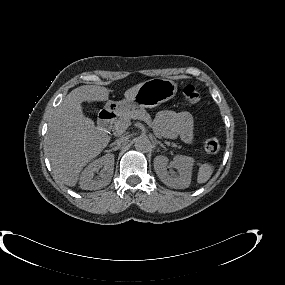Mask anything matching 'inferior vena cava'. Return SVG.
Masks as SVG:
<instances>
[{
    "mask_svg": "<svg viewBox=\"0 0 285 285\" xmlns=\"http://www.w3.org/2000/svg\"><path fill=\"white\" fill-rule=\"evenodd\" d=\"M126 142H127V138L126 137H122V138L117 139L114 143L116 145H121V144H125Z\"/></svg>",
    "mask_w": 285,
    "mask_h": 285,
    "instance_id": "1",
    "label": "inferior vena cava"
}]
</instances>
